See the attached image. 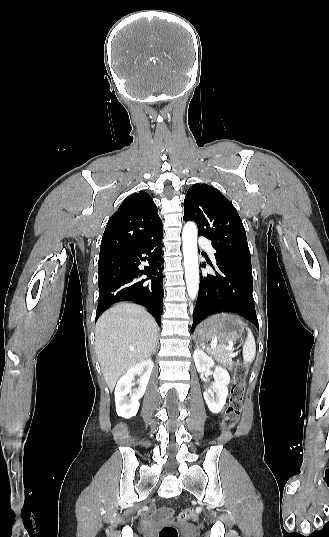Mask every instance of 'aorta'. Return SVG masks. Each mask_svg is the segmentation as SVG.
Returning a JSON list of instances; mask_svg holds the SVG:
<instances>
[{"label": "aorta", "instance_id": "aorta-1", "mask_svg": "<svg viewBox=\"0 0 329 537\" xmlns=\"http://www.w3.org/2000/svg\"><path fill=\"white\" fill-rule=\"evenodd\" d=\"M185 280L189 297L197 298L199 290V264L197 255V226L187 222L182 232Z\"/></svg>", "mask_w": 329, "mask_h": 537}]
</instances>
